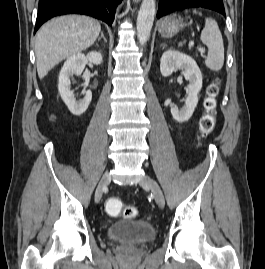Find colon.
Here are the masks:
<instances>
[{
    "instance_id": "colon-1",
    "label": "colon",
    "mask_w": 265,
    "mask_h": 269,
    "mask_svg": "<svg viewBox=\"0 0 265 269\" xmlns=\"http://www.w3.org/2000/svg\"><path fill=\"white\" fill-rule=\"evenodd\" d=\"M219 84L213 80L207 88V96L204 100V108L206 114L200 122L201 137H207L215 126V114L217 108V97L219 94ZM106 212L111 216L124 215L126 218H133L136 215V210L132 206H123V203L118 198H109L105 203Z\"/></svg>"
}]
</instances>
